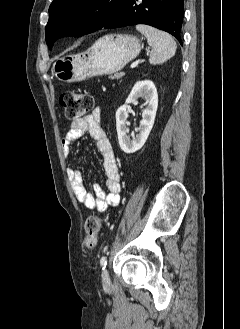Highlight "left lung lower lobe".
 <instances>
[{
  "label": "left lung lower lobe",
  "instance_id": "obj_1",
  "mask_svg": "<svg viewBox=\"0 0 240 329\" xmlns=\"http://www.w3.org/2000/svg\"><path fill=\"white\" fill-rule=\"evenodd\" d=\"M184 0H124L105 29L146 24L172 34L181 42Z\"/></svg>",
  "mask_w": 240,
  "mask_h": 329
}]
</instances>
